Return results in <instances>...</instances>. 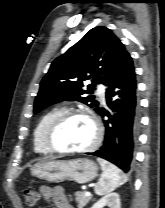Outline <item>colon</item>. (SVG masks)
Returning <instances> with one entry per match:
<instances>
[{"label":"colon","mask_w":165,"mask_h":208,"mask_svg":"<svg viewBox=\"0 0 165 208\" xmlns=\"http://www.w3.org/2000/svg\"><path fill=\"white\" fill-rule=\"evenodd\" d=\"M24 197H25L27 205L29 206H34L37 203L38 194L33 189H25Z\"/></svg>","instance_id":"colon-1"}]
</instances>
